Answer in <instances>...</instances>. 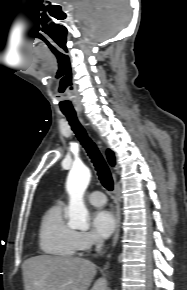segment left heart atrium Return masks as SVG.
Masks as SVG:
<instances>
[{
  "instance_id": "39dd6f15",
  "label": "left heart atrium",
  "mask_w": 187,
  "mask_h": 290,
  "mask_svg": "<svg viewBox=\"0 0 187 290\" xmlns=\"http://www.w3.org/2000/svg\"><path fill=\"white\" fill-rule=\"evenodd\" d=\"M91 223L94 232L102 238L110 236L116 227V219L108 210H98L94 212Z\"/></svg>"
}]
</instances>
